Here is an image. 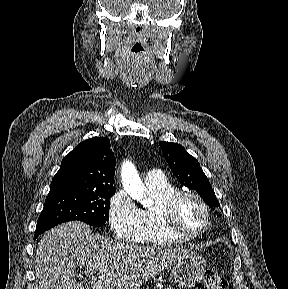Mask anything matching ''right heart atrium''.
Wrapping results in <instances>:
<instances>
[{
    "mask_svg": "<svg viewBox=\"0 0 288 289\" xmlns=\"http://www.w3.org/2000/svg\"><path fill=\"white\" fill-rule=\"evenodd\" d=\"M108 218L117 239L128 243L141 241L145 227L143 212L124 190L110 198Z\"/></svg>",
    "mask_w": 288,
    "mask_h": 289,
    "instance_id": "right-heart-atrium-1",
    "label": "right heart atrium"
}]
</instances>
